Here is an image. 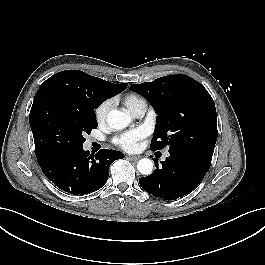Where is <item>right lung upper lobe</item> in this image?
Masks as SVG:
<instances>
[{
    "label": "right lung upper lobe",
    "mask_w": 265,
    "mask_h": 265,
    "mask_svg": "<svg viewBox=\"0 0 265 265\" xmlns=\"http://www.w3.org/2000/svg\"><path fill=\"white\" fill-rule=\"evenodd\" d=\"M127 85V83L113 84L79 70H66L44 81L34 99L43 95H53L69 104H87L94 100L102 103L122 92Z\"/></svg>",
    "instance_id": "right-lung-upper-lobe-1"
}]
</instances>
